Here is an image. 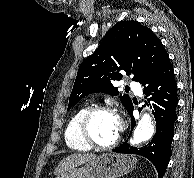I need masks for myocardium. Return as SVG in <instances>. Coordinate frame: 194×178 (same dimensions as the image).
<instances>
[{"instance_id": "myocardium-1", "label": "myocardium", "mask_w": 194, "mask_h": 178, "mask_svg": "<svg viewBox=\"0 0 194 178\" xmlns=\"http://www.w3.org/2000/svg\"><path fill=\"white\" fill-rule=\"evenodd\" d=\"M102 112H106V113H110L115 115L116 117H118L117 112L110 106L107 105H96V106H92L90 108L87 109V111L84 113V115L82 116L80 122H79V135L81 137V139L90 147H94V148H98V149H110L115 147L121 138L120 132L118 133V135L115 137L114 140H112L110 143L107 144H101L96 142L90 132V123L92 118L98 114V113H102Z\"/></svg>"}]
</instances>
